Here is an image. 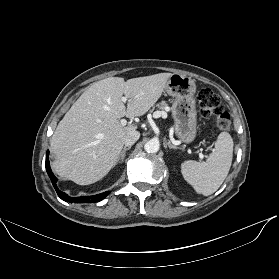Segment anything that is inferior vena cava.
I'll list each match as a JSON object with an SVG mask.
<instances>
[{"instance_id":"1","label":"inferior vena cava","mask_w":279,"mask_h":279,"mask_svg":"<svg viewBox=\"0 0 279 279\" xmlns=\"http://www.w3.org/2000/svg\"><path fill=\"white\" fill-rule=\"evenodd\" d=\"M140 137V133L138 131H130L125 138V146L133 145Z\"/></svg>"}]
</instances>
